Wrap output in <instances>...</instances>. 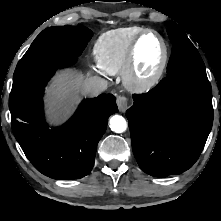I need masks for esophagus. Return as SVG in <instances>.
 I'll return each mask as SVG.
<instances>
[{"label": "esophagus", "mask_w": 221, "mask_h": 221, "mask_svg": "<svg viewBox=\"0 0 221 221\" xmlns=\"http://www.w3.org/2000/svg\"><path fill=\"white\" fill-rule=\"evenodd\" d=\"M116 102L119 111L125 112L128 106V99L125 96H118Z\"/></svg>", "instance_id": "obj_1"}]
</instances>
